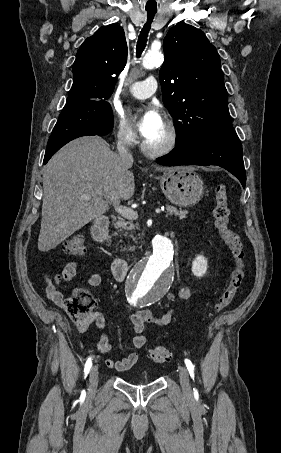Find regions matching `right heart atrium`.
I'll return each mask as SVG.
<instances>
[{"label": "right heart atrium", "instance_id": "1", "mask_svg": "<svg viewBox=\"0 0 281 453\" xmlns=\"http://www.w3.org/2000/svg\"><path fill=\"white\" fill-rule=\"evenodd\" d=\"M110 126L115 134L117 142L123 147H132L137 140V130L125 116L118 114L110 119ZM108 169L115 174H125L126 166L117 157H110Z\"/></svg>", "mask_w": 281, "mask_h": 453}]
</instances>
